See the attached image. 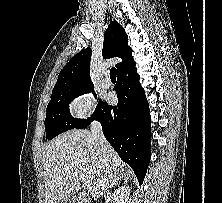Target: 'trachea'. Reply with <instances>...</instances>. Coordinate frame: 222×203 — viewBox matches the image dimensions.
I'll list each match as a JSON object with an SVG mask.
<instances>
[{
    "instance_id": "trachea-1",
    "label": "trachea",
    "mask_w": 222,
    "mask_h": 203,
    "mask_svg": "<svg viewBox=\"0 0 222 203\" xmlns=\"http://www.w3.org/2000/svg\"><path fill=\"white\" fill-rule=\"evenodd\" d=\"M116 75H117V70H116V68H111V70H110V78H111V80H116Z\"/></svg>"
}]
</instances>
